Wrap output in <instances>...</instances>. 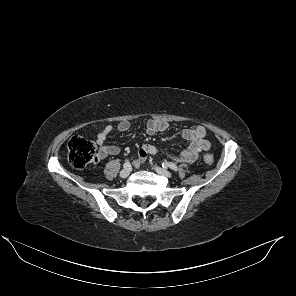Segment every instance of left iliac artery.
I'll return each mask as SVG.
<instances>
[{"mask_svg": "<svg viewBox=\"0 0 296 296\" xmlns=\"http://www.w3.org/2000/svg\"><path fill=\"white\" fill-rule=\"evenodd\" d=\"M162 167L163 168H167L169 167L170 169H172L173 171H178V167L174 164V163H169V162H163L162 163Z\"/></svg>", "mask_w": 296, "mask_h": 296, "instance_id": "obj_1", "label": "left iliac artery"}]
</instances>
